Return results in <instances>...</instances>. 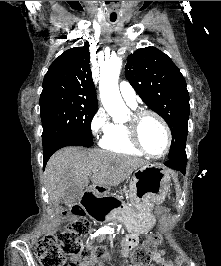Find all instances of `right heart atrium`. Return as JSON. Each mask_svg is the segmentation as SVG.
<instances>
[{
    "instance_id": "d8ad5b80",
    "label": "right heart atrium",
    "mask_w": 221,
    "mask_h": 266,
    "mask_svg": "<svg viewBox=\"0 0 221 266\" xmlns=\"http://www.w3.org/2000/svg\"><path fill=\"white\" fill-rule=\"evenodd\" d=\"M110 125L111 123L106 111L103 108H99L91 120L90 129L93 136L99 137L108 131Z\"/></svg>"
}]
</instances>
